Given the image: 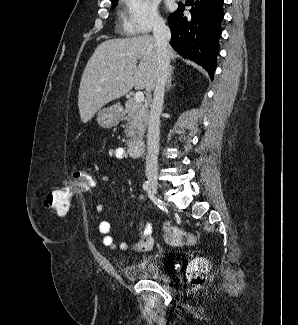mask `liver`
Wrapping results in <instances>:
<instances>
[{
  "instance_id": "liver-1",
  "label": "liver",
  "mask_w": 298,
  "mask_h": 325,
  "mask_svg": "<svg viewBox=\"0 0 298 325\" xmlns=\"http://www.w3.org/2000/svg\"><path fill=\"white\" fill-rule=\"evenodd\" d=\"M168 52L170 60L179 56L170 44ZM157 66V46L151 34L110 38L98 44L83 70L78 90L82 122L91 120L104 104L124 96L133 86L154 90Z\"/></svg>"
}]
</instances>
